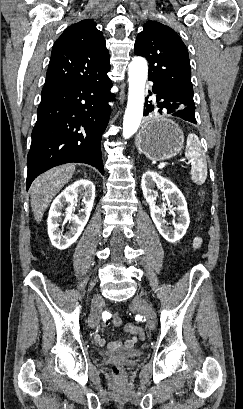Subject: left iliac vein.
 Here are the masks:
<instances>
[{"instance_id": "4c4485c4", "label": "left iliac vein", "mask_w": 243, "mask_h": 409, "mask_svg": "<svg viewBox=\"0 0 243 409\" xmlns=\"http://www.w3.org/2000/svg\"><path fill=\"white\" fill-rule=\"evenodd\" d=\"M134 306L146 317L148 327L154 329L156 325V315L152 307L139 298L134 301Z\"/></svg>"}]
</instances>
